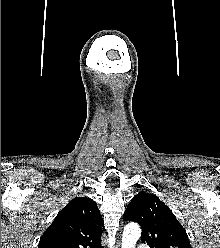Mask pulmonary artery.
I'll list each match as a JSON object with an SVG mask.
<instances>
[{"label": "pulmonary artery", "mask_w": 220, "mask_h": 248, "mask_svg": "<svg viewBox=\"0 0 220 248\" xmlns=\"http://www.w3.org/2000/svg\"><path fill=\"white\" fill-rule=\"evenodd\" d=\"M138 248H149V247L146 245H140Z\"/></svg>", "instance_id": "e3ab8cb5"}]
</instances>
